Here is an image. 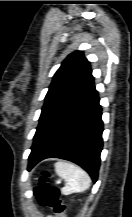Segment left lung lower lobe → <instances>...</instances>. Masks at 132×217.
<instances>
[{"instance_id":"obj_1","label":"left lung lower lobe","mask_w":132,"mask_h":217,"mask_svg":"<svg viewBox=\"0 0 132 217\" xmlns=\"http://www.w3.org/2000/svg\"><path fill=\"white\" fill-rule=\"evenodd\" d=\"M94 83L58 115L32 147L28 170L46 158L72 161L97 181L103 122Z\"/></svg>"}]
</instances>
